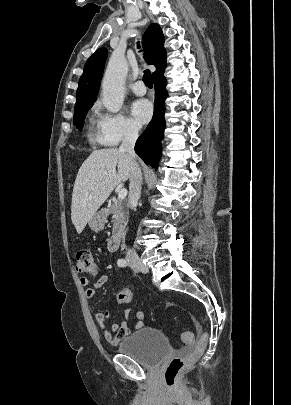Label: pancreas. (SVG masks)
Listing matches in <instances>:
<instances>
[{"instance_id":"pancreas-1","label":"pancreas","mask_w":291,"mask_h":405,"mask_svg":"<svg viewBox=\"0 0 291 405\" xmlns=\"http://www.w3.org/2000/svg\"><path fill=\"white\" fill-rule=\"evenodd\" d=\"M110 213L113 214V234L122 231L128 221V216L121 200H115L110 208Z\"/></svg>"}]
</instances>
